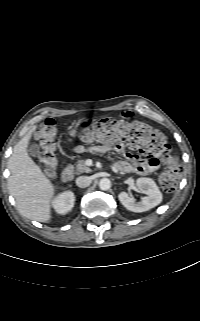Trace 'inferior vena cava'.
Listing matches in <instances>:
<instances>
[{
    "instance_id": "1",
    "label": "inferior vena cava",
    "mask_w": 200,
    "mask_h": 321,
    "mask_svg": "<svg viewBox=\"0 0 200 321\" xmlns=\"http://www.w3.org/2000/svg\"><path fill=\"white\" fill-rule=\"evenodd\" d=\"M91 184V178L88 176H79L76 178V185L80 188L88 187Z\"/></svg>"
}]
</instances>
